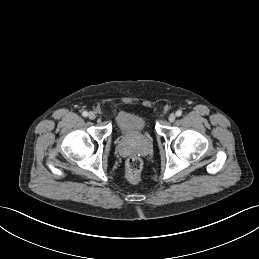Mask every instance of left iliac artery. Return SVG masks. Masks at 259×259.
Instances as JSON below:
<instances>
[{
  "mask_svg": "<svg viewBox=\"0 0 259 259\" xmlns=\"http://www.w3.org/2000/svg\"><path fill=\"white\" fill-rule=\"evenodd\" d=\"M182 115V111H180V110H178V111H176V116H181Z\"/></svg>",
  "mask_w": 259,
  "mask_h": 259,
  "instance_id": "obj_1",
  "label": "left iliac artery"
}]
</instances>
